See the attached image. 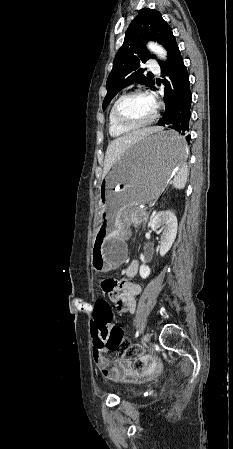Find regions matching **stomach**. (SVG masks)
<instances>
[{"label": "stomach", "mask_w": 233, "mask_h": 449, "mask_svg": "<svg viewBox=\"0 0 233 449\" xmlns=\"http://www.w3.org/2000/svg\"><path fill=\"white\" fill-rule=\"evenodd\" d=\"M174 151V152H171ZM188 153L181 133L160 128L133 144L102 181L103 210L92 253L96 272L118 268L126 257L128 223L124 213L157 199Z\"/></svg>", "instance_id": "0dacf381"}]
</instances>
